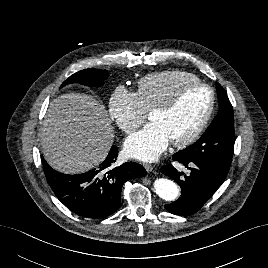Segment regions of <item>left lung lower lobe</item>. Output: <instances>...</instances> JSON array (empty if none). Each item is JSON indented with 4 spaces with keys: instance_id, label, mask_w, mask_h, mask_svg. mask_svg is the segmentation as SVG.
I'll list each match as a JSON object with an SVG mask.
<instances>
[{
    "instance_id": "1",
    "label": "left lung lower lobe",
    "mask_w": 268,
    "mask_h": 268,
    "mask_svg": "<svg viewBox=\"0 0 268 268\" xmlns=\"http://www.w3.org/2000/svg\"><path fill=\"white\" fill-rule=\"evenodd\" d=\"M173 159L185 165L190 174L180 177L183 173L171 165H165L161 172L173 178L181 187V197L171 204L165 205L170 212L181 216L196 213L205 202L216 192L225 180L228 169L208 161L184 160L173 155Z\"/></svg>"
}]
</instances>
